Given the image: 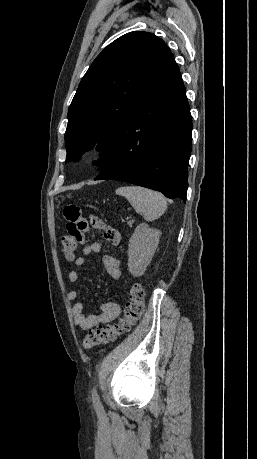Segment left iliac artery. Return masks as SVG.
I'll use <instances>...</instances> for the list:
<instances>
[{
  "label": "left iliac artery",
  "instance_id": "1",
  "mask_svg": "<svg viewBox=\"0 0 257 459\" xmlns=\"http://www.w3.org/2000/svg\"><path fill=\"white\" fill-rule=\"evenodd\" d=\"M92 399H93V405L95 407L96 412L102 413L103 411V406L101 404L100 398L98 396L96 387L92 389Z\"/></svg>",
  "mask_w": 257,
  "mask_h": 459
}]
</instances>
